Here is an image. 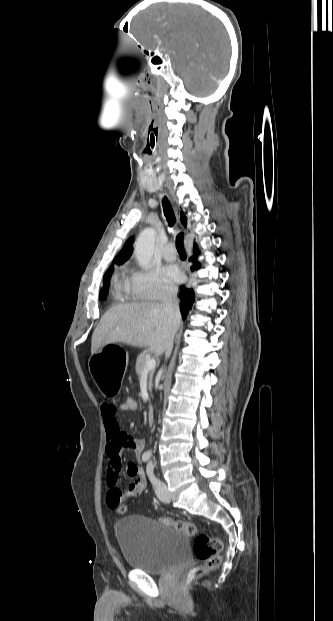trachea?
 <instances>
[{
  "instance_id": "trachea-1",
  "label": "trachea",
  "mask_w": 333,
  "mask_h": 621,
  "mask_svg": "<svg viewBox=\"0 0 333 621\" xmlns=\"http://www.w3.org/2000/svg\"><path fill=\"white\" fill-rule=\"evenodd\" d=\"M162 205H163V211H164V215L168 221V224L170 227H172L176 221L175 219V215L173 212V209L170 205L169 200L167 199V197L165 196L162 200ZM176 248L179 254L181 255H185V249H184V244H183V234H178L177 238H176Z\"/></svg>"
}]
</instances>
